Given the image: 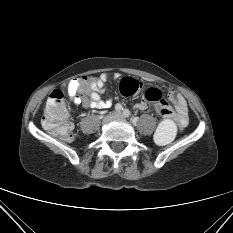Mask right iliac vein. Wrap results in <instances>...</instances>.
I'll return each mask as SVG.
<instances>
[{"label":"right iliac vein","instance_id":"right-iliac-vein-1","mask_svg":"<svg viewBox=\"0 0 233 233\" xmlns=\"http://www.w3.org/2000/svg\"><path fill=\"white\" fill-rule=\"evenodd\" d=\"M117 117V114H110L103 119V123L107 124Z\"/></svg>","mask_w":233,"mask_h":233}]
</instances>
